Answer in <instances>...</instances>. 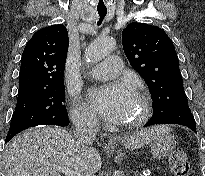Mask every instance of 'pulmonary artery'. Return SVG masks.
<instances>
[{"label": "pulmonary artery", "instance_id": "pulmonary-artery-1", "mask_svg": "<svg viewBox=\"0 0 205 176\" xmlns=\"http://www.w3.org/2000/svg\"><path fill=\"white\" fill-rule=\"evenodd\" d=\"M123 65L118 56H110L105 61L94 66L89 72L96 79L114 78L122 73Z\"/></svg>", "mask_w": 205, "mask_h": 176}]
</instances>
